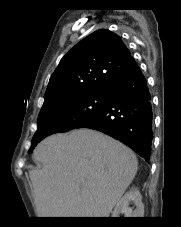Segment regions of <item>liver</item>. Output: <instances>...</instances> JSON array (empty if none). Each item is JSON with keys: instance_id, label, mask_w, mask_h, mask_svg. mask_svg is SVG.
<instances>
[{"instance_id": "1", "label": "liver", "mask_w": 181, "mask_h": 227, "mask_svg": "<svg viewBox=\"0 0 181 227\" xmlns=\"http://www.w3.org/2000/svg\"><path fill=\"white\" fill-rule=\"evenodd\" d=\"M30 171L39 217H108L134 179L138 160L121 142L91 129L40 142Z\"/></svg>"}]
</instances>
